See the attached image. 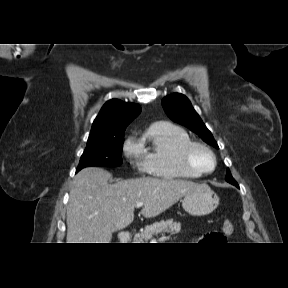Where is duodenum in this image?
<instances>
[{
	"instance_id": "duodenum-1",
	"label": "duodenum",
	"mask_w": 288,
	"mask_h": 288,
	"mask_svg": "<svg viewBox=\"0 0 288 288\" xmlns=\"http://www.w3.org/2000/svg\"><path fill=\"white\" fill-rule=\"evenodd\" d=\"M132 239V235L127 232L121 233L119 235V240L121 243H130Z\"/></svg>"
}]
</instances>
